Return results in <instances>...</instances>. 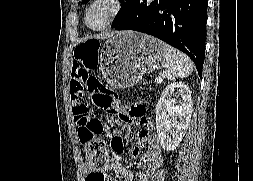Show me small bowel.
<instances>
[{"label": "small bowel", "instance_id": "obj_1", "mask_svg": "<svg viewBox=\"0 0 253 181\" xmlns=\"http://www.w3.org/2000/svg\"><path fill=\"white\" fill-rule=\"evenodd\" d=\"M92 67L86 66L84 63L75 62L71 72L70 92L73 102V114L75 101L74 99L82 93L86 92L87 84L90 80V71ZM120 114L119 120L114 125L113 131L109 134V138L115 148L117 157L107 159L102 167H92L87 163L84 167L86 181H112L107 172H113L121 175L124 181H133L135 172L124 167L118 158L121 153L122 145L119 135L122 129L127 125L139 127L136 144L132 148V156L141 158L139 168L146 172L140 177V181H152L155 172L164 164V155L158 144L156 136L152 133L150 122L145 117V109L141 103L131 105H118ZM146 147V153L142 155V148Z\"/></svg>", "mask_w": 253, "mask_h": 181}]
</instances>
